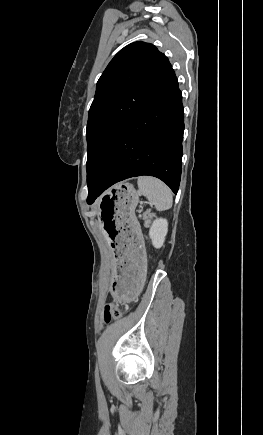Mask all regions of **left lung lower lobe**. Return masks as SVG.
Masks as SVG:
<instances>
[{"label":"left lung lower lobe","mask_w":263,"mask_h":435,"mask_svg":"<svg viewBox=\"0 0 263 435\" xmlns=\"http://www.w3.org/2000/svg\"><path fill=\"white\" fill-rule=\"evenodd\" d=\"M183 130L182 95L174 76L125 129L88 187L87 203L116 182L140 175L155 176L177 193Z\"/></svg>","instance_id":"obj_1"}]
</instances>
